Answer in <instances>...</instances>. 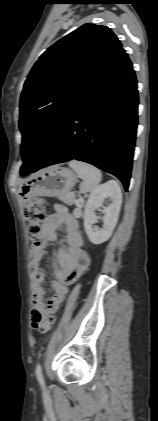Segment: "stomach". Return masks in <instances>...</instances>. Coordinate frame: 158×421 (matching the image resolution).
Here are the masks:
<instances>
[{
	"label": "stomach",
	"mask_w": 158,
	"mask_h": 421,
	"mask_svg": "<svg viewBox=\"0 0 158 421\" xmlns=\"http://www.w3.org/2000/svg\"><path fill=\"white\" fill-rule=\"evenodd\" d=\"M77 182L76 174L64 167L53 166L41 170L19 187L21 197L30 201L39 196L61 197Z\"/></svg>",
	"instance_id": "obj_1"
}]
</instances>
